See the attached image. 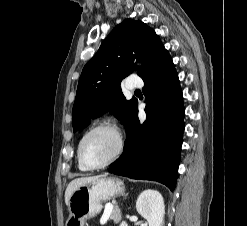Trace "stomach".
<instances>
[{
	"instance_id": "1",
	"label": "stomach",
	"mask_w": 247,
	"mask_h": 226,
	"mask_svg": "<svg viewBox=\"0 0 247 226\" xmlns=\"http://www.w3.org/2000/svg\"><path fill=\"white\" fill-rule=\"evenodd\" d=\"M124 191L123 181L116 177H99L81 185L70 196L66 226H84L87 219L101 211L103 201L118 197Z\"/></svg>"
}]
</instances>
